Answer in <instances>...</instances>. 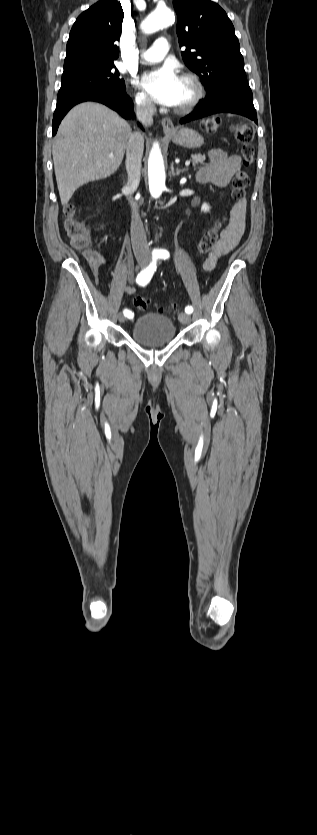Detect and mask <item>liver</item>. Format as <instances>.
Returning a JSON list of instances; mask_svg holds the SVG:
<instances>
[{
	"mask_svg": "<svg viewBox=\"0 0 317 835\" xmlns=\"http://www.w3.org/2000/svg\"><path fill=\"white\" fill-rule=\"evenodd\" d=\"M131 134L130 125L104 105L85 102L69 111L52 146L62 205L83 184L106 178L119 168Z\"/></svg>",
	"mask_w": 317,
	"mask_h": 835,
	"instance_id": "liver-1",
	"label": "liver"
}]
</instances>
